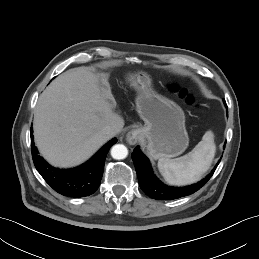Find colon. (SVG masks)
<instances>
[{
	"instance_id": "colon-1",
	"label": "colon",
	"mask_w": 259,
	"mask_h": 259,
	"mask_svg": "<svg viewBox=\"0 0 259 259\" xmlns=\"http://www.w3.org/2000/svg\"><path fill=\"white\" fill-rule=\"evenodd\" d=\"M169 87L178 94V96L183 99L187 104L197 106L195 96L186 88L180 87L175 83H170Z\"/></svg>"
}]
</instances>
